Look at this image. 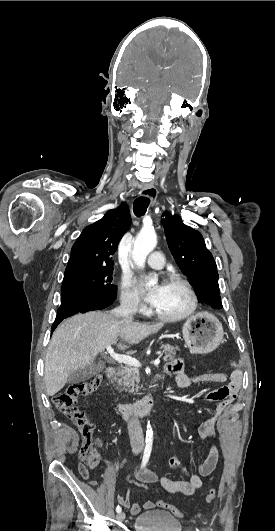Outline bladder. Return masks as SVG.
Here are the masks:
<instances>
[{
  "label": "bladder",
  "mask_w": 275,
  "mask_h": 531,
  "mask_svg": "<svg viewBox=\"0 0 275 531\" xmlns=\"http://www.w3.org/2000/svg\"><path fill=\"white\" fill-rule=\"evenodd\" d=\"M134 531H181V521L166 510H150L136 516Z\"/></svg>",
  "instance_id": "bladder-1"
}]
</instances>
